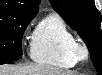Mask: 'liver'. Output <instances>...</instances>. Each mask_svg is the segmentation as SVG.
<instances>
[{
  "label": "liver",
  "mask_w": 102,
  "mask_h": 75,
  "mask_svg": "<svg viewBox=\"0 0 102 75\" xmlns=\"http://www.w3.org/2000/svg\"><path fill=\"white\" fill-rule=\"evenodd\" d=\"M0 75H76L74 72L64 71L43 64H31L26 66L2 65Z\"/></svg>",
  "instance_id": "6515ba94"
}]
</instances>
